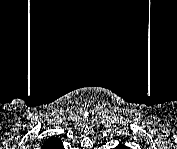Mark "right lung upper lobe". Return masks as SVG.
<instances>
[{
  "label": "right lung upper lobe",
  "mask_w": 177,
  "mask_h": 149,
  "mask_svg": "<svg viewBox=\"0 0 177 149\" xmlns=\"http://www.w3.org/2000/svg\"><path fill=\"white\" fill-rule=\"evenodd\" d=\"M58 142H60V139H59V138L53 140L52 143H50V145H55V143H58ZM46 143L49 144V142H46ZM45 145H46V144H45ZM48 148H54V147H48ZM56 149H57V148H56Z\"/></svg>",
  "instance_id": "cb5924a9"
}]
</instances>
